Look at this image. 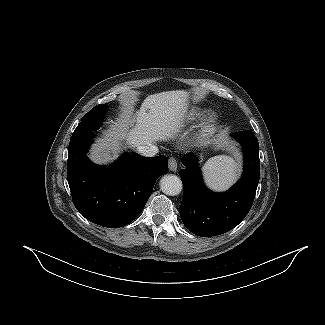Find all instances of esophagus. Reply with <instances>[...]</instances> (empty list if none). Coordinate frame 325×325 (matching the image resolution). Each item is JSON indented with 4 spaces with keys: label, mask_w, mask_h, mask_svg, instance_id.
Masks as SVG:
<instances>
[{
    "label": "esophagus",
    "mask_w": 325,
    "mask_h": 325,
    "mask_svg": "<svg viewBox=\"0 0 325 325\" xmlns=\"http://www.w3.org/2000/svg\"><path fill=\"white\" fill-rule=\"evenodd\" d=\"M177 161L174 157H170L169 159V170L170 171H173V172H176L177 171Z\"/></svg>",
    "instance_id": "obj_1"
}]
</instances>
